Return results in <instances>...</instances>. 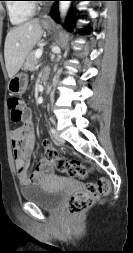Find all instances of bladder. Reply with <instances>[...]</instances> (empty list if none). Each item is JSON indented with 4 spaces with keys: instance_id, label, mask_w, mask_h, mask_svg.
Segmentation results:
<instances>
[{
    "instance_id": "31cf9c89",
    "label": "bladder",
    "mask_w": 133,
    "mask_h": 253,
    "mask_svg": "<svg viewBox=\"0 0 133 253\" xmlns=\"http://www.w3.org/2000/svg\"><path fill=\"white\" fill-rule=\"evenodd\" d=\"M23 200L36 204L43 210L55 211L62 203L63 193L45 185L31 184L20 188Z\"/></svg>"
}]
</instances>
